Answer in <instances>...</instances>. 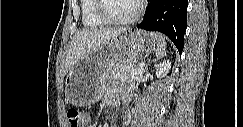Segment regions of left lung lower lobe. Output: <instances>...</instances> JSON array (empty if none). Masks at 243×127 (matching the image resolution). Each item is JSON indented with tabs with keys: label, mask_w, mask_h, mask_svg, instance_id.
<instances>
[{
	"label": "left lung lower lobe",
	"mask_w": 243,
	"mask_h": 127,
	"mask_svg": "<svg viewBox=\"0 0 243 127\" xmlns=\"http://www.w3.org/2000/svg\"><path fill=\"white\" fill-rule=\"evenodd\" d=\"M143 21L137 26L167 35L182 53L187 27L188 0H149Z\"/></svg>",
	"instance_id": "left-lung-lower-lobe-1"
}]
</instances>
